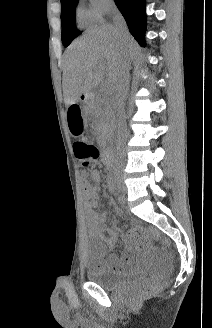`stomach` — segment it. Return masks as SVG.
Listing matches in <instances>:
<instances>
[{"mask_svg":"<svg viewBox=\"0 0 212 328\" xmlns=\"http://www.w3.org/2000/svg\"><path fill=\"white\" fill-rule=\"evenodd\" d=\"M67 128L69 129L70 135H75V139H80V135L84 134V110L82 109L81 102H68L67 103Z\"/></svg>","mask_w":212,"mask_h":328,"instance_id":"obj_1","label":"stomach"}]
</instances>
